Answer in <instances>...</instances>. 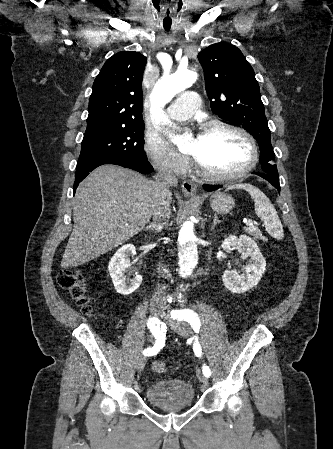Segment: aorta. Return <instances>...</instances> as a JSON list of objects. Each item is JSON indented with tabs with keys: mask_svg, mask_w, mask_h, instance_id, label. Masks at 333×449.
<instances>
[{
	"mask_svg": "<svg viewBox=\"0 0 333 449\" xmlns=\"http://www.w3.org/2000/svg\"><path fill=\"white\" fill-rule=\"evenodd\" d=\"M196 77L194 63L189 62L187 70L164 74L155 84L152 90L151 113L156 123L168 122L164 115V108L176 94L192 85L196 81ZM176 143L180 151H185L190 147V143L182 137L177 138ZM176 239L180 274L186 277L198 264L197 236L192 222L185 221L178 227Z\"/></svg>",
	"mask_w": 333,
	"mask_h": 449,
	"instance_id": "obj_1",
	"label": "aorta"
}]
</instances>
